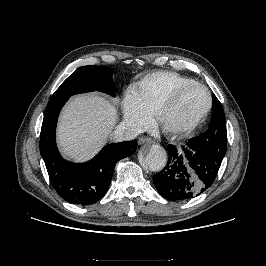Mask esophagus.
<instances>
[{
	"label": "esophagus",
	"instance_id": "34e87169",
	"mask_svg": "<svg viewBox=\"0 0 266 266\" xmlns=\"http://www.w3.org/2000/svg\"><path fill=\"white\" fill-rule=\"evenodd\" d=\"M145 143L151 144L152 140L149 137H143V136L139 137L138 144L142 145V144H145Z\"/></svg>",
	"mask_w": 266,
	"mask_h": 266
}]
</instances>
